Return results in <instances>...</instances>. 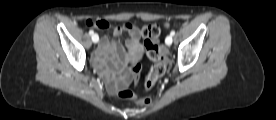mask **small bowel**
<instances>
[{
  "mask_svg": "<svg viewBox=\"0 0 276 120\" xmlns=\"http://www.w3.org/2000/svg\"><path fill=\"white\" fill-rule=\"evenodd\" d=\"M94 27L99 31L111 29L114 36L127 34L126 46L129 49V55L137 56L140 53V33L134 25L112 26L105 20H98ZM129 55L123 51L118 41L108 39L104 35L101 37L100 46L93 57V63L110 93H116L128 84L130 76L123 71V67L128 61Z\"/></svg>",
  "mask_w": 276,
  "mask_h": 120,
  "instance_id": "obj_1",
  "label": "small bowel"
}]
</instances>
